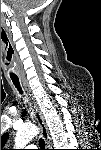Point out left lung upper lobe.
Masks as SVG:
<instances>
[{
	"label": "left lung upper lobe",
	"mask_w": 101,
	"mask_h": 150,
	"mask_svg": "<svg viewBox=\"0 0 101 150\" xmlns=\"http://www.w3.org/2000/svg\"><path fill=\"white\" fill-rule=\"evenodd\" d=\"M8 138V133H5L2 137H1V146H3Z\"/></svg>",
	"instance_id": "1"
}]
</instances>
